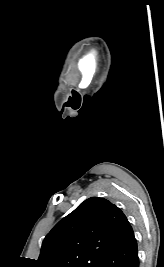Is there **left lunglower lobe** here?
<instances>
[{"instance_id":"left-lung-lower-lobe-1","label":"left lung lower lobe","mask_w":164,"mask_h":267,"mask_svg":"<svg viewBox=\"0 0 164 267\" xmlns=\"http://www.w3.org/2000/svg\"><path fill=\"white\" fill-rule=\"evenodd\" d=\"M99 267H139L137 242L129 223L109 249Z\"/></svg>"}]
</instances>
